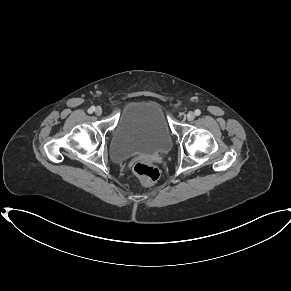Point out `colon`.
Masks as SVG:
<instances>
[{"instance_id": "colon-1", "label": "colon", "mask_w": 291, "mask_h": 291, "mask_svg": "<svg viewBox=\"0 0 291 291\" xmlns=\"http://www.w3.org/2000/svg\"><path fill=\"white\" fill-rule=\"evenodd\" d=\"M133 171L147 185L155 183L160 176L158 168L144 162L135 163Z\"/></svg>"}]
</instances>
